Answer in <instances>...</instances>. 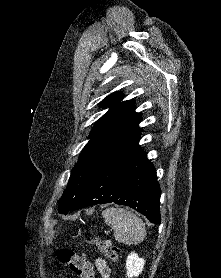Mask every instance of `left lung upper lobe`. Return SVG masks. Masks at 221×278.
Returning <instances> with one entry per match:
<instances>
[{"label":"left lung upper lobe","mask_w":221,"mask_h":278,"mask_svg":"<svg viewBox=\"0 0 221 278\" xmlns=\"http://www.w3.org/2000/svg\"><path fill=\"white\" fill-rule=\"evenodd\" d=\"M122 99V93L116 92L101 102V106L109 110L95 123L90 140L71 172L68 186L58 202L60 213L72 210L105 165L140 137L141 114L134 112V102H121Z\"/></svg>","instance_id":"1"}]
</instances>
